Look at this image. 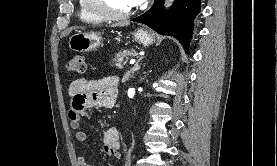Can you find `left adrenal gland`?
<instances>
[{
    "instance_id": "left-adrenal-gland-1",
    "label": "left adrenal gland",
    "mask_w": 277,
    "mask_h": 166,
    "mask_svg": "<svg viewBox=\"0 0 277 166\" xmlns=\"http://www.w3.org/2000/svg\"><path fill=\"white\" fill-rule=\"evenodd\" d=\"M143 58H144V56H143V57H140V58L137 60V62L133 65V67H132L129 71H127V72L125 73V75H124V77H123V82L129 80V78H130L131 76H133L134 72H135V71H138V70L141 68L140 62L142 61Z\"/></svg>"
}]
</instances>
